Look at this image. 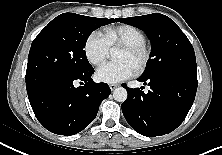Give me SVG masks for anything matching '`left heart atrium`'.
I'll return each instance as SVG.
<instances>
[{
  "label": "left heart atrium",
  "mask_w": 222,
  "mask_h": 155,
  "mask_svg": "<svg viewBox=\"0 0 222 155\" xmlns=\"http://www.w3.org/2000/svg\"><path fill=\"white\" fill-rule=\"evenodd\" d=\"M135 68L126 61L108 62L103 64L96 72V77L104 83H118L132 77Z\"/></svg>",
  "instance_id": "39dd6f15"
}]
</instances>
